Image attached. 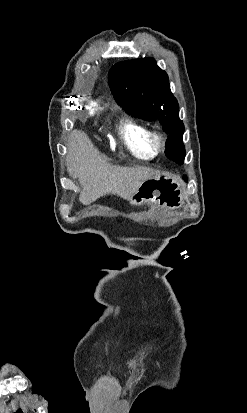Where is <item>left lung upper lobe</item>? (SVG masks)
I'll return each instance as SVG.
<instances>
[{
    "label": "left lung upper lobe",
    "instance_id": "1",
    "mask_svg": "<svg viewBox=\"0 0 247 413\" xmlns=\"http://www.w3.org/2000/svg\"><path fill=\"white\" fill-rule=\"evenodd\" d=\"M109 86L117 103L144 120H158L170 134L166 156L178 163L185 158L182 141L184 125L179 106L169 86L166 72L153 58H141L115 64L109 71Z\"/></svg>",
    "mask_w": 247,
    "mask_h": 413
}]
</instances>
